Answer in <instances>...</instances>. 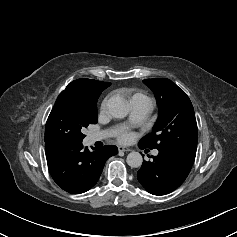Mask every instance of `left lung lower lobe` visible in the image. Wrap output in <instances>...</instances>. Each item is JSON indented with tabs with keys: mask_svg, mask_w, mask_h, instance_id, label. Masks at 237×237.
<instances>
[{
	"mask_svg": "<svg viewBox=\"0 0 237 237\" xmlns=\"http://www.w3.org/2000/svg\"><path fill=\"white\" fill-rule=\"evenodd\" d=\"M140 147L146 148L142 145ZM195 155L176 151H159L157 156H152V161H143L142 167L137 172V178L149 193L168 194L184 182L192 168Z\"/></svg>",
	"mask_w": 237,
	"mask_h": 237,
	"instance_id": "obj_1",
	"label": "left lung lower lobe"
}]
</instances>
